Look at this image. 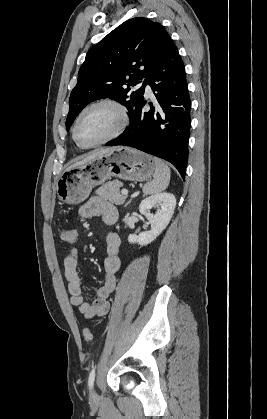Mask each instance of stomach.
<instances>
[{
    "label": "stomach",
    "instance_id": "stomach-1",
    "mask_svg": "<svg viewBox=\"0 0 267 419\" xmlns=\"http://www.w3.org/2000/svg\"><path fill=\"white\" fill-rule=\"evenodd\" d=\"M155 172L153 158L128 147H116L85 164L68 168L56 182L58 198L67 204H79L88 198L94 186L111 177L127 181H146Z\"/></svg>",
    "mask_w": 267,
    "mask_h": 419
}]
</instances>
